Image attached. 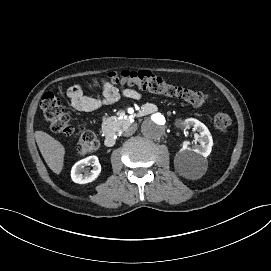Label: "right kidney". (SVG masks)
Here are the masks:
<instances>
[{"label":"right kidney","instance_id":"right-kidney-1","mask_svg":"<svg viewBox=\"0 0 271 271\" xmlns=\"http://www.w3.org/2000/svg\"><path fill=\"white\" fill-rule=\"evenodd\" d=\"M92 166V170L85 169ZM101 171V165L97 156H89L75 163L71 169V179L79 184L93 181ZM83 172V174H81Z\"/></svg>","mask_w":271,"mask_h":271}]
</instances>
